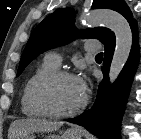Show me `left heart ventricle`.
Masks as SVG:
<instances>
[{"mask_svg": "<svg viewBox=\"0 0 141 139\" xmlns=\"http://www.w3.org/2000/svg\"><path fill=\"white\" fill-rule=\"evenodd\" d=\"M79 79L62 78L51 88V102L58 111H69L77 107L84 97Z\"/></svg>", "mask_w": 141, "mask_h": 139, "instance_id": "obj_1", "label": "left heart ventricle"}]
</instances>
